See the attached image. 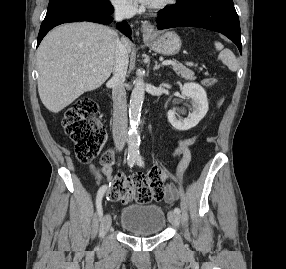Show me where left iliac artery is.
I'll return each mask as SVG.
<instances>
[{"instance_id": "obj_1", "label": "left iliac artery", "mask_w": 286, "mask_h": 269, "mask_svg": "<svg viewBox=\"0 0 286 269\" xmlns=\"http://www.w3.org/2000/svg\"><path fill=\"white\" fill-rule=\"evenodd\" d=\"M135 161H136V163L139 165V166H144V161H143V158L140 156V155H137L136 157H135ZM174 212L175 213H177V214H179L180 213V209L178 208V207H176L175 209H174Z\"/></svg>"}]
</instances>
